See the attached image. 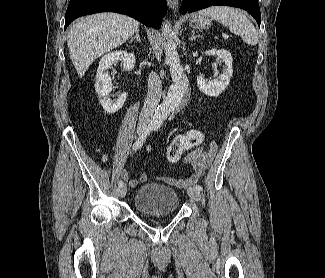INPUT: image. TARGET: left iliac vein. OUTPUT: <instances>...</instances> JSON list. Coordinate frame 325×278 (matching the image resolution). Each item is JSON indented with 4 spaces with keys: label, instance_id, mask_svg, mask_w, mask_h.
<instances>
[{
    "label": "left iliac vein",
    "instance_id": "left-iliac-vein-1",
    "mask_svg": "<svg viewBox=\"0 0 325 278\" xmlns=\"http://www.w3.org/2000/svg\"><path fill=\"white\" fill-rule=\"evenodd\" d=\"M188 195L195 201H200L201 200V193L200 191L194 189V188H189L187 190Z\"/></svg>",
    "mask_w": 325,
    "mask_h": 278
}]
</instances>
